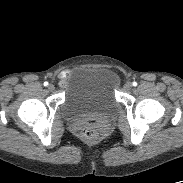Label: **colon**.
<instances>
[{
  "instance_id": "colon-1",
  "label": "colon",
  "mask_w": 183,
  "mask_h": 183,
  "mask_svg": "<svg viewBox=\"0 0 183 183\" xmlns=\"http://www.w3.org/2000/svg\"><path fill=\"white\" fill-rule=\"evenodd\" d=\"M80 135L87 141H94L97 139L99 132L98 128L93 121H88L80 126Z\"/></svg>"
}]
</instances>
